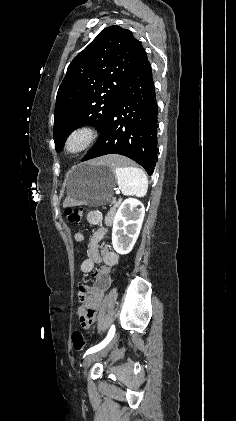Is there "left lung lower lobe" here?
<instances>
[{
	"instance_id": "obj_1",
	"label": "left lung lower lobe",
	"mask_w": 236,
	"mask_h": 421,
	"mask_svg": "<svg viewBox=\"0 0 236 421\" xmlns=\"http://www.w3.org/2000/svg\"><path fill=\"white\" fill-rule=\"evenodd\" d=\"M151 65L144 48L138 50L96 144L82 159L120 154L136 161L152 175L157 161V114Z\"/></svg>"
}]
</instances>
